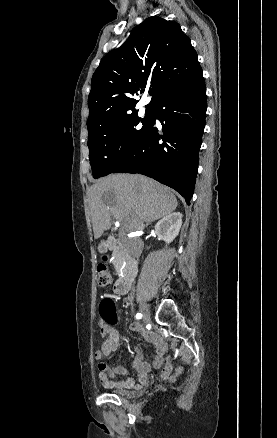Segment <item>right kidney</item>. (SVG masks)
<instances>
[{
    "instance_id": "ca27d5eb",
    "label": "right kidney",
    "mask_w": 277,
    "mask_h": 438,
    "mask_svg": "<svg viewBox=\"0 0 277 438\" xmlns=\"http://www.w3.org/2000/svg\"><path fill=\"white\" fill-rule=\"evenodd\" d=\"M182 218L183 216L180 212H172V214L164 216L155 226L156 236H158L160 240H164L166 244H171L180 232Z\"/></svg>"
}]
</instances>
